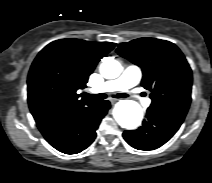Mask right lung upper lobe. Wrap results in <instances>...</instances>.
Masks as SVG:
<instances>
[{
    "mask_svg": "<svg viewBox=\"0 0 212 183\" xmlns=\"http://www.w3.org/2000/svg\"><path fill=\"white\" fill-rule=\"evenodd\" d=\"M114 47L110 42L61 39L43 48L27 80L29 108L36 123L97 103L77 91L86 87L98 61Z\"/></svg>",
    "mask_w": 212,
    "mask_h": 183,
    "instance_id": "1",
    "label": "right lung upper lobe"
}]
</instances>
